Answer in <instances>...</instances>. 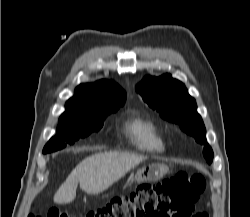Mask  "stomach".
<instances>
[{
    "instance_id": "stomach-1",
    "label": "stomach",
    "mask_w": 250,
    "mask_h": 217,
    "mask_svg": "<svg viewBox=\"0 0 250 217\" xmlns=\"http://www.w3.org/2000/svg\"><path fill=\"white\" fill-rule=\"evenodd\" d=\"M168 167L164 164L153 163L140 168L136 175L137 182H153L160 180L168 172Z\"/></svg>"
}]
</instances>
